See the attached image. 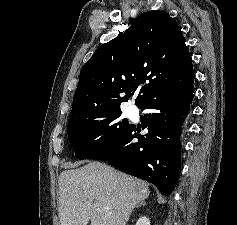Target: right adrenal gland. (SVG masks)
I'll return each mask as SVG.
<instances>
[{"label": "right adrenal gland", "instance_id": "1", "mask_svg": "<svg viewBox=\"0 0 237 225\" xmlns=\"http://www.w3.org/2000/svg\"><path fill=\"white\" fill-rule=\"evenodd\" d=\"M144 205H145V202H142V203L138 204L136 207L138 208V207H141V206H144Z\"/></svg>", "mask_w": 237, "mask_h": 225}]
</instances>
